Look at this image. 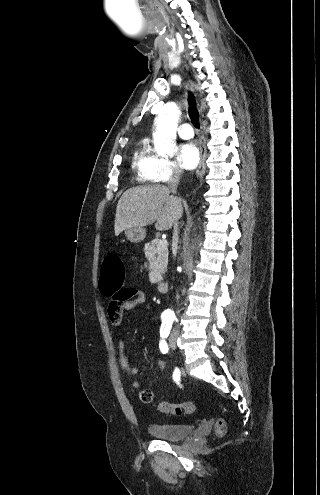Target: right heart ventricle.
<instances>
[{"instance_id": "obj_1", "label": "right heart ventricle", "mask_w": 320, "mask_h": 495, "mask_svg": "<svg viewBox=\"0 0 320 495\" xmlns=\"http://www.w3.org/2000/svg\"><path fill=\"white\" fill-rule=\"evenodd\" d=\"M150 160L151 156L146 145H140L134 155L132 166L137 173L140 181L148 182L151 181L150 178Z\"/></svg>"}]
</instances>
